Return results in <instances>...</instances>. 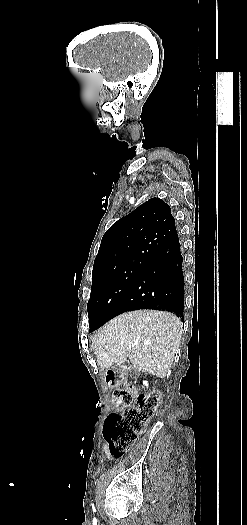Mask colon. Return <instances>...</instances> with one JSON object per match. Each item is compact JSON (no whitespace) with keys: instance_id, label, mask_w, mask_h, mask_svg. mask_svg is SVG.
Here are the masks:
<instances>
[{"instance_id":"colon-1","label":"colon","mask_w":247,"mask_h":525,"mask_svg":"<svg viewBox=\"0 0 247 525\" xmlns=\"http://www.w3.org/2000/svg\"><path fill=\"white\" fill-rule=\"evenodd\" d=\"M161 399L160 392L138 395L131 386L114 391L117 412H112L105 422V440L112 457L122 458L133 446L147 421L157 412Z\"/></svg>"}]
</instances>
